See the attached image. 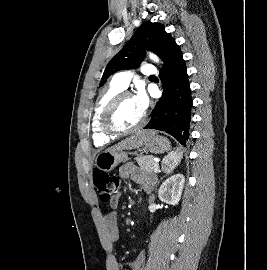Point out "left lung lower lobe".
Listing matches in <instances>:
<instances>
[{
  "label": "left lung lower lobe",
  "instance_id": "left-lung-lower-lobe-1",
  "mask_svg": "<svg viewBox=\"0 0 267 270\" xmlns=\"http://www.w3.org/2000/svg\"><path fill=\"white\" fill-rule=\"evenodd\" d=\"M160 79L164 93L144 128L165 131L185 147L189 140L192 98L187 68L177 44L164 61Z\"/></svg>",
  "mask_w": 267,
  "mask_h": 270
}]
</instances>
